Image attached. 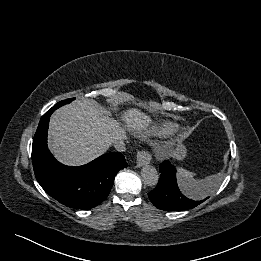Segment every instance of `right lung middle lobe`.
<instances>
[{
	"label": "right lung middle lobe",
	"instance_id": "1",
	"mask_svg": "<svg viewBox=\"0 0 261 261\" xmlns=\"http://www.w3.org/2000/svg\"><path fill=\"white\" fill-rule=\"evenodd\" d=\"M75 98H70V99H67V100H63V101H60L59 103H57L56 105L58 106V107H61V106H63V105H65V104H68V103H70L72 100H74Z\"/></svg>",
	"mask_w": 261,
	"mask_h": 261
}]
</instances>
